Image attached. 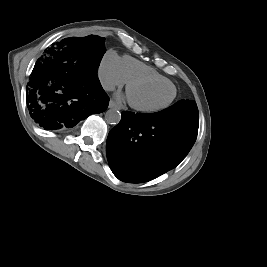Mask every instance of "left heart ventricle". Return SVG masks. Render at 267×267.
I'll return each mask as SVG.
<instances>
[{"instance_id":"1","label":"left heart ventricle","mask_w":267,"mask_h":267,"mask_svg":"<svg viewBox=\"0 0 267 267\" xmlns=\"http://www.w3.org/2000/svg\"><path fill=\"white\" fill-rule=\"evenodd\" d=\"M172 86L167 84H142L129 90V98L142 106H160L173 96Z\"/></svg>"}]
</instances>
